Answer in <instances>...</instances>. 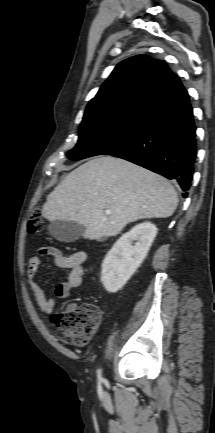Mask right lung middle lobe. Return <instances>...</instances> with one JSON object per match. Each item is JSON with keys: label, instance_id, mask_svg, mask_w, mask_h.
Listing matches in <instances>:
<instances>
[{"label": "right lung middle lobe", "instance_id": "obj_1", "mask_svg": "<svg viewBox=\"0 0 215 433\" xmlns=\"http://www.w3.org/2000/svg\"><path fill=\"white\" fill-rule=\"evenodd\" d=\"M145 120L142 115H126L97 121L82 122L76 146L67 154L78 161L84 158L108 155L129 144Z\"/></svg>", "mask_w": 215, "mask_h": 433}]
</instances>
